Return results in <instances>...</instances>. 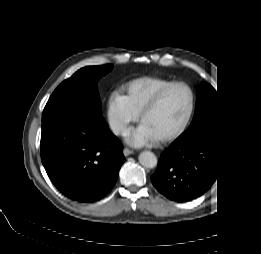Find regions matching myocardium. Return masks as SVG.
<instances>
[{
    "instance_id": "obj_1",
    "label": "myocardium",
    "mask_w": 261,
    "mask_h": 254,
    "mask_svg": "<svg viewBox=\"0 0 261 254\" xmlns=\"http://www.w3.org/2000/svg\"><path fill=\"white\" fill-rule=\"evenodd\" d=\"M177 87H181L184 88L187 93H188V103H187V107L185 110V113L181 119V121L179 122V124L177 125V127L172 130L169 133L157 136V139L161 142H167L170 141L172 139H174L175 137H177L186 127V125L188 124L193 109H194V102H195V96L194 93L192 91V89L184 84V83H173L170 84L168 86H166L165 88H163L141 111L140 113V121L142 122L144 117L151 112L154 108H156V106L160 103V101L164 98V96L173 88H177Z\"/></svg>"
}]
</instances>
